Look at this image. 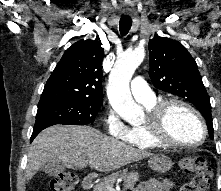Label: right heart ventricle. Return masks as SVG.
<instances>
[{"mask_svg": "<svg viewBox=\"0 0 221 191\" xmlns=\"http://www.w3.org/2000/svg\"><path fill=\"white\" fill-rule=\"evenodd\" d=\"M158 102L154 99L150 103H143L150 111ZM126 142L139 149H154L160 147L155 141L152 140L150 131L145 124L136 125L130 128L129 137Z\"/></svg>", "mask_w": 221, "mask_h": 191, "instance_id": "right-heart-ventricle-1", "label": "right heart ventricle"}]
</instances>
